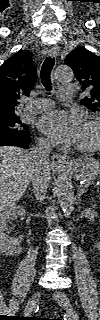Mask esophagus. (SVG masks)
Masks as SVG:
<instances>
[{
	"label": "esophagus",
	"instance_id": "34e87169",
	"mask_svg": "<svg viewBox=\"0 0 100 320\" xmlns=\"http://www.w3.org/2000/svg\"><path fill=\"white\" fill-rule=\"evenodd\" d=\"M59 53V49L57 46H53L47 53L48 56L51 57H57ZM52 159V165L53 167L59 168V169H65L67 168L70 163H71V159L69 156L67 155H61L58 153H55L52 155L51 157Z\"/></svg>",
	"mask_w": 100,
	"mask_h": 320
}]
</instances>
